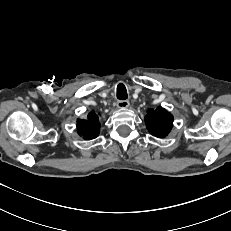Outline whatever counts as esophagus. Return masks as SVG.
<instances>
[{
  "instance_id": "1",
  "label": "esophagus",
  "mask_w": 231,
  "mask_h": 231,
  "mask_svg": "<svg viewBox=\"0 0 231 231\" xmlns=\"http://www.w3.org/2000/svg\"><path fill=\"white\" fill-rule=\"evenodd\" d=\"M130 105L129 101L128 100H119L117 102V107L120 108V109H125V108H128Z\"/></svg>"
}]
</instances>
